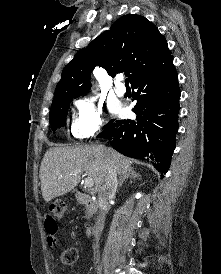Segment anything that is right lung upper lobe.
I'll return each instance as SVG.
<instances>
[{
	"instance_id": "1",
	"label": "right lung upper lobe",
	"mask_w": 221,
	"mask_h": 274,
	"mask_svg": "<svg viewBox=\"0 0 221 274\" xmlns=\"http://www.w3.org/2000/svg\"><path fill=\"white\" fill-rule=\"evenodd\" d=\"M172 58L167 41L145 17L128 14L119 18L109 31L78 51L58 82L54 99L79 97L87 92L91 72L99 65L110 76L125 72L131 85L160 68Z\"/></svg>"
}]
</instances>
